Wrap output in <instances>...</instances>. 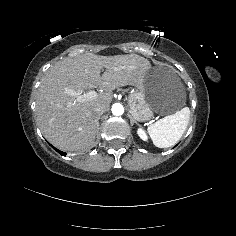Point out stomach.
<instances>
[{"mask_svg":"<svg viewBox=\"0 0 236 236\" xmlns=\"http://www.w3.org/2000/svg\"><path fill=\"white\" fill-rule=\"evenodd\" d=\"M186 102L183 84L177 75L161 67L151 68L128 97L130 114L135 121L145 122L154 112L170 115L181 109Z\"/></svg>","mask_w":236,"mask_h":236,"instance_id":"stomach-1","label":"stomach"}]
</instances>
